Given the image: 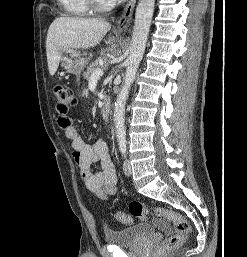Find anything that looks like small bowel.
I'll return each mask as SVG.
<instances>
[{
  "label": "small bowel",
  "mask_w": 247,
  "mask_h": 257,
  "mask_svg": "<svg viewBox=\"0 0 247 257\" xmlns=\"http://www.w3.org/2000/svg\"><path fill=\"white\" fill-rule=\"evenodd\" d=\"M58 124L71 141L73 158L85 187L100 198L114 195L118 189L117 175L106 141L99 139L93 144L86 143L70 118L69 124L64 125L62 118L58 117ZM95 163L100 164V169L92 172V165Z\"/></svg>",
  "instance_id": "obj_1"
}]
</instances>
